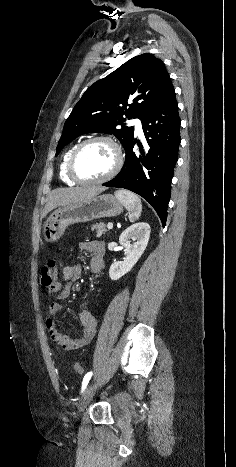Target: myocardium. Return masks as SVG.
Returning a JSON list of instances; mask_svg holds the SVG:
<instances>
[{"label":"myocardium","instance_id":"myocardium-1","mask_svg":"<svg viewBox=\"0 0 236 467\" xmlns=\"http://www.w3.org/2000/svg\"><path fill=\"white\" fill-rule=\"evenodd\" d=\"M100 141L107 142L113 148L114 153H115L114 165L112 169L105 176L98 178V179H94V180H84L78 175L76 171L77 157L79 153L82 151V149H84L86 146L92 143H95V142H100ZM123 164H124V154L119 143L111 136L98 135V136H94L92 138H89L81 142L75 147V149L72 151L69 157V160H68L67 173H68V176L72 180H74L76 183H79L82 185H95V184H101V183L107 182L111 180L112 178H114L122 169Z\"/></svg>","mask_w":236,"mask_h":467}]
</instances>
